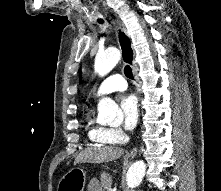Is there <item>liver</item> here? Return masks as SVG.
Masks as SVG:
<instances>
[{"label": "liver", "mask_w": 221, "mask_h": 191, "mask_svg": "<svg viewBox=\"0 0 221 191\" xmlns=\"http://www.w3.org/2000/svg\"><path fill=\"white\" fill-rule=\"evenodd\" d=\"M123 154L124 150L117 147L87 148L76 157L74 164L109 162L120 158Z\"/></svg>", "instance_id": "1"}]
</instances>
